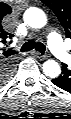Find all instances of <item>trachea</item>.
<instances>
[{"label": "trachea", "mask_w": 71, "mask_h": 119, "mask_svg": "<svg viewBox=\"0 0 71 119\" xmlns=\"http://www.w3.org/2000/svg\"><path fill=\"white\" fill-rule=\"evenodd\" d=\"M33 48H35V50L39 51L42 54L44 52V46L41 43H34L31 41L25 44L26 50H31Z\"/></svg>", "instance_id": "obj_1"}]
</instances>
